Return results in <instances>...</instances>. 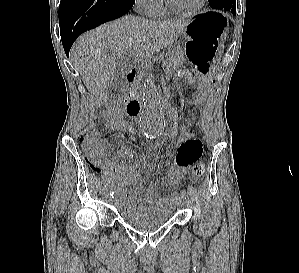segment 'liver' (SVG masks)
Segmentation results:
<instances>
[{"instance_id":"6515ba94","label":"liver","mask_w":299,"mask_h":273,"mask_svg":"<svg viewBox=\"0 0 299 273\" xmlns=\"http://www.w3.org/2000/svg\"><path fill=\"white\" fill-rule=\"evenodd\" d=\"M188 20L149 21L125 16L80 36L71 48L73 65L98 106L107 102L119 53L135 59L150 57L183 33Z\"/></svg>"}]
</instances>
